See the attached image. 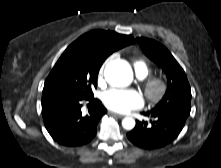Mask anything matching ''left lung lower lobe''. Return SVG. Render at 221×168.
Segmentation results:
<instances>
[{
  "label": "left lung lower lobe",
  "instance_id": "1",
  "mask_svg": "<svg viewBox=\"0 0 221 168\" xmlns=\"http://www.w3.org/2000/svg\"><path fill=\"white\" fill-rule=\"evenodd\" d=\"M189 114L177 110L143 112V115L151 116L155 120L151 121V125L144 121H136L135 128L127 133V137L134 145L140 148H161L177 138Z\"/></svg>",
  "mask_w": 221,
  "mask_h": 168
}]
</instances>
